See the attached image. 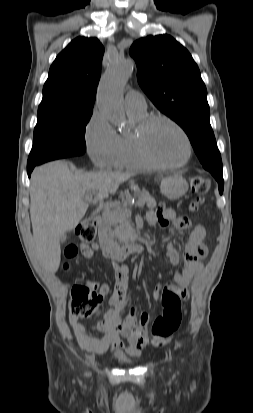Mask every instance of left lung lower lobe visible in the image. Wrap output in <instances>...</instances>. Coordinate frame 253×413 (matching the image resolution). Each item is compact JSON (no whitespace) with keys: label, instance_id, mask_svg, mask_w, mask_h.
<instances>
[{"label":"left lung lower lobe","instance_id":"left-lung-lower-lobe-1","mask_svg":"<svg viewBox=\"0 0 253 413\" xmlns=\"http://www.w3.org/2000/svg\"><path fill=\"white\" fill-rule=\"evenodd\" d=\"M214 178L217 180L218 182V187H219V192L222 193L223 192V187H224V181H223V175L222 173H216V172H211L209 171Z\"/></svg>","mask_w":253,"mask_h":413}]
</instances>
